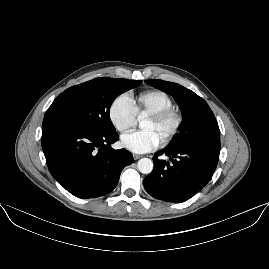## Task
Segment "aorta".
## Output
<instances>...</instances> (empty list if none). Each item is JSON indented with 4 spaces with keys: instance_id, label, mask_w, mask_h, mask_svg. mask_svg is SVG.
<instances>
[{
    "instance_id": "1",
    "label": "aorta",
    "mask_w": 269,
    "mask_h": 269,
    "mask_svg": "<svg viewBox=\"0 0 269 269\" xmlns=\"http://www.w3.org/2000/svg\"><path fill=\"white\" fill-rule=\"evenodd\" d=\"M137 167L142 174H150L154 164L150 158H141L137 163Z\"/></svg>"
}]
</instances>
